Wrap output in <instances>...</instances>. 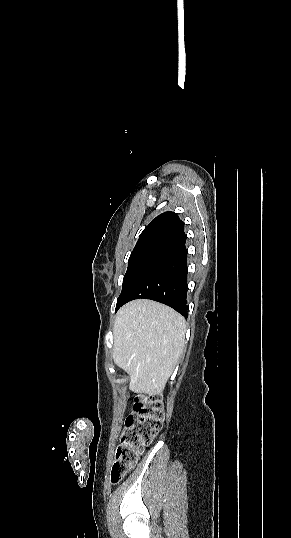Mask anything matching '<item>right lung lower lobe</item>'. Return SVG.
I'll return each instance as SVG.
<instances>
[{"mask_svg": "<svg viewBox=\"0 0 291 538\" xmlns=\"http://www.w3.org/2000/svg\"><path fill=\"white\" fill-rule=\"evenodd\" d=\"M187 249L172 250L137 285L129 301L146 298L168 305L187 317Z\"/></svg>", "mask_w": 291, "mask_h": 538, "instance_id": "98d812e1", "label": "right lung lower lobe"}]
</instances>
